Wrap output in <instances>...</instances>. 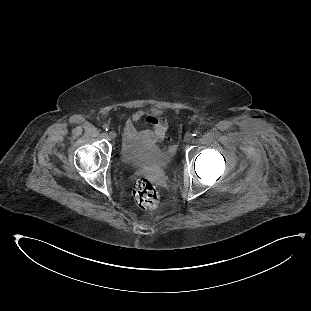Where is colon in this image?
Returning a JSON list of instances; mask_svg holds the SVG:
<instances>
[{"instance_id":"colon-1","label":"colon","mask_w":311,"mask_h":311,"mask_svg":"<svg viewBox=\"0 0 311 311\" xmlns=\"http://www.w3.org/2000/svg\"><path fill=\"white\" fill-rule=\"evenodd\" d=\"M133 196L137 205L143 210L155 209L160 202L157 188L147 178L137 179L133 186Z\"/></svg>"}]
</instances>
